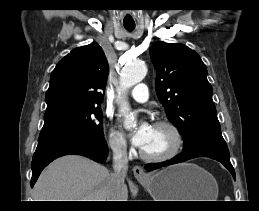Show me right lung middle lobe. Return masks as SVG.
I'll use <instances>...</instances> for the list:
<instances>
[{
    "instance_id": "right-lung-middle-lobe-1",
    "label": "right lung middle lobe",
    "mask_w": 259,
    "mask_h": 211,
    "mask_svg": "<svg viewBox=\"0 0 259 211\" xmlns=\"http://www.w3.org/2000/svg\"><path fill=\"white\" fill-rule=\"evenodd\" d=\"M103 114L99 106H93L67 117L44 123L40 135L53 133H80L103 135Z\"/></svg>"
}]
</instances>
